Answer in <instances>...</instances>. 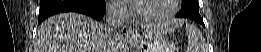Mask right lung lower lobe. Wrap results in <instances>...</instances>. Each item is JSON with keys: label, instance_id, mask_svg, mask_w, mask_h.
Wrapping results in <instances>:
<instances>
[{"label": "right lung lower lobe", "instance_id": "right-lung-lower-lobe-1", "mask_svg": "<svg viewBox=\"0 0 261 52\" xmlns=\"http://www.w3.org/2000/svg\"><path fill=\"white\" fill-rule=\"evenodd\" d=\"M105 11V0H41L38 23L62 12L83 13L100 20Z\"/></svg>", "mask_w": 261, "mask_h": 52}]
</instances>
